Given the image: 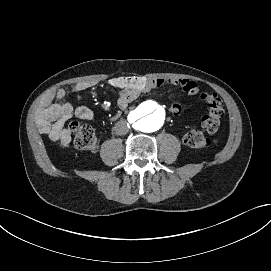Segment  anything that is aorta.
Segmentation results:
<instances>
[{
  "instance_id": "762f6f07",
  "label": "aorta",
  "mask_w": 271,
  "mask_h": 271,
  "mask_svg": "<svg viewBox=\"0 0 271 271\" xmlns=\"http://www.w3.org/2000/svg\"><path fill=\"white\" fill-rule=\"evenodd\" d=\"M133 119L137 120L138 126L143 132H155L164 124L165 110L156 102L148 100L137 107Z\"/></svg>"
}]
</instances>
